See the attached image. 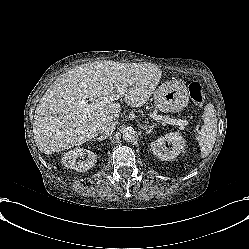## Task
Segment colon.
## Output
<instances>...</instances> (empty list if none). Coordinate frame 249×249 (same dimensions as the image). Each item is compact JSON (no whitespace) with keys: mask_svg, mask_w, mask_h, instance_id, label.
Here are the masks:
<instances>
[{"mask_svg":"<svg viewBox=\"0 0 249 249\" xmlns=\"http://www.w3.org/2000/svg\"><path fill=\"white\" fill-rule=\"evenodd\" d=\"M189 95L191 100L197 104L202 105L204 102L203 91L200 84L192 82L188 87Z\"/></svg>","mask_w":249,"mask_h":249,"instance_id":"1","label":"colon"}]
</instances>
